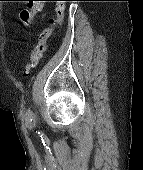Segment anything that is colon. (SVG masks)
I'll list each match as a JSON object with an SVG mask.
<instances>
[{"mask_svg": "<svg viewBox=\"0 0 143 170\" xmlns=\"http://www.w3.org/2000/svg\"><path fill=\"white\" fill-rule=\"evenodd\" d=\"M29 6L21 11L20 17L23 22H29L33 16L41 10L42 3L49 0H28ZM55 17L50 20V24L42 32H40L38 37V42L35 46L34 51L31 55L30 68H33L39 64L44 52L46 50V44L49 37L61 26L64 18L65 4L64 0H55Z\"/></svg>", "mask_w": 143, "mask_h": 170, "instance_id": "1", "label": "colon"}]
</instances>
